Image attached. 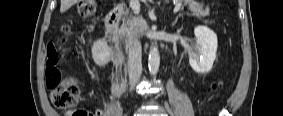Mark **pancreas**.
<instances>
[{
  "mask_svg": "<svg viewBox=\"0 0 283 116\" xmlns=\"http://www.w3.org/2000/svg\"><path fill=\"white\" fill-rule=\"evenodd\" d=\"M176 2H181L177 0ZM190 10L193 13V16L198 18L206 16L209 14V8H203L199 4H193L190 6ZM140 32V19L130 15V17L124 22V24L115 30V34L120 37H128L130 35H136Z\"/></svg>",
  "mask_w": 283,
  "mask_h": 116,
  "instance_id": "pancreas-1",
  "label": "pancreas"
}]
</instances>
